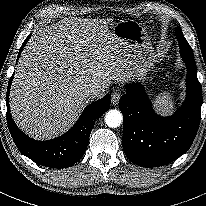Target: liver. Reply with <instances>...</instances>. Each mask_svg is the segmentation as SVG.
Segmentation results:
<instances>
[{"label": "liver", "instance_id": "liver-1", "mask_svg": "<svg viewBox=\"0 0 206 206\" xmlns=\"http://www.w3.org/2000/svg\"><path fill=\"white\" fill-rule=\"evenodd\" d=\"M106 24L68 17L31 36L10 92L12 117L26 134L36 139L59 136L91 102L90 89L140 76L131 50Z\"/></svg>", "mask_w": 206, "mask_h": 206}]
</instances>
